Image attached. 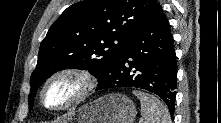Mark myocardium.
<instances>
[{
    "label": "myocardium",
    "instance_id": "myocardium-1",
    "mask_svg": "<svg viewBox=\"0 0 221 123\" xmlns=\"http://www.w3.org/2000/svg\"><path fill=\"white\" fill-rule=\"evenodd\" d=\"M61 78L74 79L78 85L77 92L64 104L59 106H49L45 102V92L54 81ZM96 85L97 82L95 77L87 70L75 67L62 68L51 74L43 83L39 93L40 102L49 111H65L74 108L84 102L93 93Z\"/></svg>",
    "mask_w": 221,
    "mask_h": 123
}]
</instances>
